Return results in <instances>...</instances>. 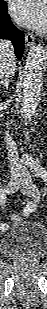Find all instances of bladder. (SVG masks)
I'll list each match as a JSON object with an SVG mask.
<instances>
[{"mask_svg": "<svg viewBox=\"0 0 47 309\" xmlns=\"http://www.w3.org/2000/svg\"><path fill=\"white\" fill-rule=\"evenodd\" d=\"M47 230L39 222L19 219L0 240L1 252L12 258L39 257L45 253Z\"/></svg>", "mask_w": 47, "mask_h": 309, "instance_id": "bladder-1", "label": "bladder"}]
</instances>
